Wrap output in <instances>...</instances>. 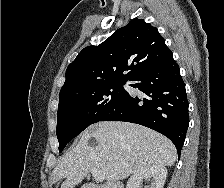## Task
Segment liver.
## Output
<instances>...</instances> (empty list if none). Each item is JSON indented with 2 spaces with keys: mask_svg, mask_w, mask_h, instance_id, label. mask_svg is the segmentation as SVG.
<instances>
[{
  "mask_svg": "<svg viewBox=\"0 0 224 188\" xmlns=\"http://www.w3.org/2000/svg\"><path fill=\"white\" fill-rule=\"evenodd\" d=\"M94 138L96 146L89 140ZM177 158L174 144L149 128L126 122L106 121L89 127L67 151L51 174V182L65 178L61 188H74L91 168L101 170L107 188L151 165L172 166Z\"/></svg>",
  "mask_w": 224,
  "mask_h": 188,
  "instance_id": "obj_1",
  "label": "liver"
}]
</instances>
